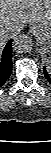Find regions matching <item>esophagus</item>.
I'll return each mask as SVG.
<instances>
[{"instance_id":"obj_1","label":"esophagus","mask_w":51,"mask_h":153,"mask_svg":"<svg viewBox=\"0 0 51 153\" xmlns=\"http://www.w3.org/2000/svg\"><path fill=\"white\" fill-rule=\"evenodd\" d=\"M31 30H32L33 33L36 32V28L35 27H32Z\"/></svg>"}]
</instances>
